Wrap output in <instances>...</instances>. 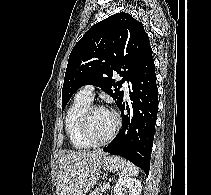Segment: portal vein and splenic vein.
I'll return each mask as SVG.
<instances>
[{"label": "portal vein and splenic vein", "instance_id": "18ae733b", "mask_svg": "<svg viewBox=\"0 0 211 195\" xmlns=\"http://www.w3.org/2000/svg\"><path fill=\"white\" fill-rule=\"evenodd\" d=\"M104 188H110V184L109 183L105 184Z\"/></svg>", "mask_w": 211, "mask_h": 195}]
</instances>
